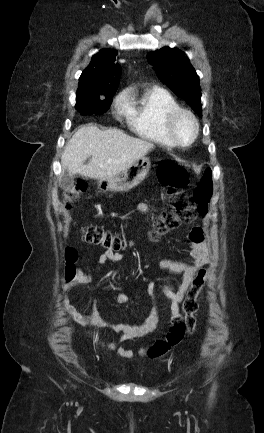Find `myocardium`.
I'll return each instance as SVG.
<instances>
[{
    "label": "myocardium",
    "mask_w": 264,
    "mask_h": 433,
    "mask_svg": "<svg viewBox=\"0 0 264 433\" xmlns=\"http://www.w3.org/2000/svg\"><path fill=\"white\" fill-rule=\"evenodd\" d=\"M181 116L188 117L192 121L193 126H194L193 136H192L191 140L187 143L180 141L179 138L176 136L175 131H174L175 123H176L177 119ZM164 129H165L167 136L171 140V142L174 145L179 146V147H187V146L192 145L196 141V139L198 138V135L200 132V126H199V121H198L197 117L194 115L193 112H191L190 110H188L186 108H182V107H177L175 109H172L171 111H169L165 115V117H164Z\"/></svg>",
    "instance_id": "1"
}]
</instances>
